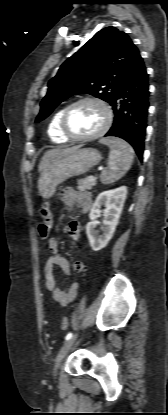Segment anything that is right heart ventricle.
<instances>
[{
	"label": "right heart ventricle",
	"mask_w": 168,
	"mask_h": 415,
	"mask_svg": "<svg viewBox=\"0 0 168 415\" xmlns=\"http://www.w3.org/2000/svg\"><path fill=\"white\" fill-rule=\"evenodd\" d=\"M64 108H60L57 110L54 115L52 116L49 125H48V136L54 143L62 144L68 142L67 139L60 130V119L62 116Z\"/></svg>",
	"instance_id": "1"
}]
</instances>
